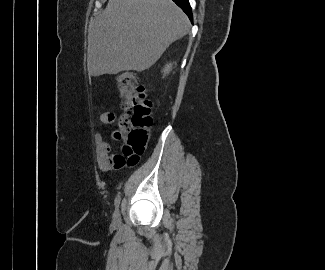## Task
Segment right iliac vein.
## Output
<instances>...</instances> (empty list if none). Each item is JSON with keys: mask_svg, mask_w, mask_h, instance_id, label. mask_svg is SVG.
<instances>
[{"mask_svg": "<svg viewBox=\"0 0 325 270\" xmlns=\"http://www.w3.org/2000/svg\"><path fill=\"white\" fill-rule=\"evenodd\" d=\"M120 223H121V216H120L119 209H117L113 214V224L119 225Z\"/></svg>", "mask_w": 325, "mask_h": 270, "instance_id": "obj_1", "label": "right iliac vein"}]
</instances>
